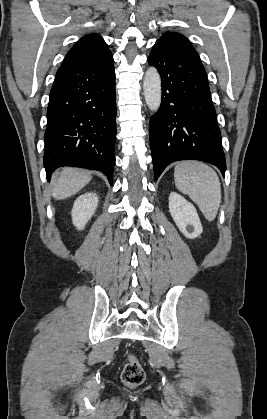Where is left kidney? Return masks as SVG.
Listing matches in <instances>:
<instances>
[{
    "instance_id": "obj_1",
    "label": "left kidney",
    "mask_w": 267,
    "mask_h": 419,
    "mask_svg": "<svg viewBox=\"0 0 267 419\" xmlns=\"http://www.w3.org/2000/svg\"><path fill=\"white\" fill-rule=\"evenodd\" d=\"M169 211L180 232L189 239L198 237L202 225L196 208L176 192L169 195Z\"/></svg>"
}]
</instances>
